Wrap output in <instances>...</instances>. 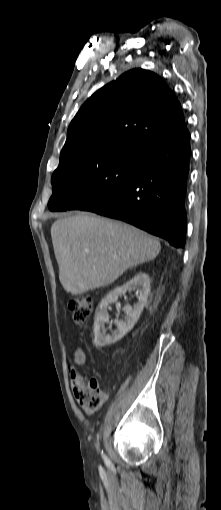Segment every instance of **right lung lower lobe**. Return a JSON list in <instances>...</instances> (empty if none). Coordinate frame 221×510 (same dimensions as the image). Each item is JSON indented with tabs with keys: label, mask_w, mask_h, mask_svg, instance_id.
<instances>
[{
	"label": "right lung lower lobe",
	"mask_w": 221,
	"mask_h": 510,
	"mask_svg": "<svg viewBox=\"0 0 221 510\" xmlns=\"http://www.w3.org/2000/svg\"><path fill=\"white\" fill-rule=\"evenodd\" d=\"M191 156L189 131L147 150L131 181L112 197L81 210L128 222L182 248Z\"/></svg>",
	"instance_id": "obj_1"
}]
</instances>
